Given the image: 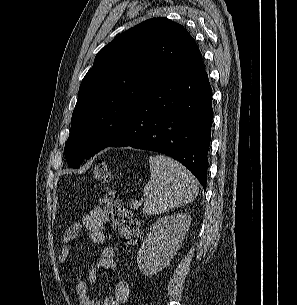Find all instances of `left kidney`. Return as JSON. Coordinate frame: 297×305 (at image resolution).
Wrapping results in <instances>:
<instances>
[{"instance_id":"5707ae66","label":"left kidney","mask_w":297,"mask_h":305,"mask_svg":"<svg viewBox=\"0 0 297 305\" xmlns=\"http://www.w3.org/2000/svg\"><path fill=\"white\" fill-rule=\"evenodd\" d=\"M191 216L178 213L158 219L138 251L137 263L146 276L160 272L173 258L189 229Z\"/></svg>"}]
</instances>
